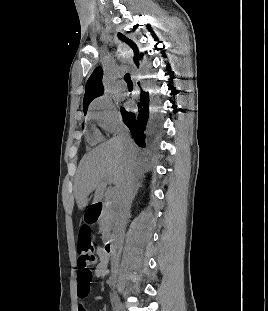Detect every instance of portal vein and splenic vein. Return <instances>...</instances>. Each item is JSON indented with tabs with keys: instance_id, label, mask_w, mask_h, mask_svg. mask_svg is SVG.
<instances>
[{
	"instance_id": "1",
	"label": "portal vein and splenic vein",
	"mask_w": 268,
	"mask_h": 311,
	"mask_svg": "<svg viewBox=\"0 0 268 311\" xmlns=\"http://www.w3.org/2000/svg\"><path fill=\"white\" fill-rule=\"evenodd\" d=\"M107 182L109 184H111L112 180L110 178H107ZM114 193H115L114 189H111L110 194H109L110 198H112L114 196Z\"/></svg>"
}]
</instances>
